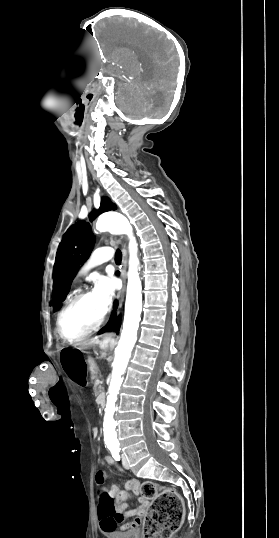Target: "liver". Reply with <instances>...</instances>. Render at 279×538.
<instances>
[{
  "label": "liver",
  "instance_id": "6515ba94",
  "mask_svg": "<svg viewBox=\"0 0 279 538\" xmlns=\"http://www.w3.org/2000/svg\"><path fill=\"white\" fill-rule=\"evenodd\" d=\"M95 344H99V340H97V338H92V340H89L84 346H95Z\"/></svg>",
  "mask_w": 279,
  "mask_h": 538
}]
</instances>
